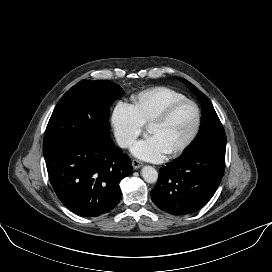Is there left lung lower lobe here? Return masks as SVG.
<instances>
[{"label": "left lung lower lobe", "mask_w": 272, "mask_h": 272, "mask_svg": "<svg viewBox=\"0 0 272 272\" xmlns=\"http://www.w3.org/2000/svg\"><path fill=\"white\" fill-rule=\"evenodd\" d=\"M224 171L225 159L207 153L182 154L160 168L152 200L170 214H193L212 198Z\"/></svg>", "instance_id": "obj_1"}]
</instances>
